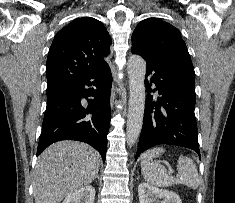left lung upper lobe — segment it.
<instances>
[{"label": "left lung upper lobe", "mask_w": 235, "mask_h": 203, "mask_svg": "<svg viewBox=\"0 0 235 203\" xmlns=\"http://www.w3.org/2000/svg\"><path fill=\"white\" fill-rule=\"evenodd\" d=\"M132 51L159 65L195 78L186 44L177 28L157 18L141 21L132 35Z\"/></svg>", "instance_id": "1"}]
</instances>
